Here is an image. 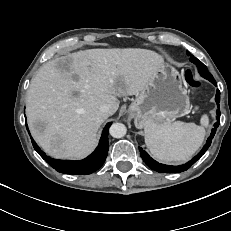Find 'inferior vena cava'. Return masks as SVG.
<instances>
[{
	"label": "inferior vena cava",
	"instance_id": "inferior-vena-cava-1",
	"mask_svg": "<svg viewBox=\"0 0 231 231\" xmlns=\"http://www.w3.org/2000/svg\"><path fill=\"white\" fill-rule=\"evenodd\" d=\"M99 111H100L103 115H105L106 117H108V116H110V115L112 114V113H111V109H110L109 105H107V104L101 105L100 108H99Z\"/></svg>",
	"mask_w": 231,
	"mask_h": 231
}]
</instances>
